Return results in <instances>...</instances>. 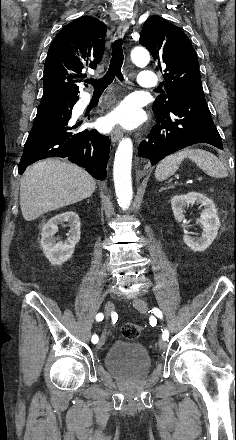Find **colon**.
<instances>
[{
	"mask_svg": "<svg viewBox=\"0 0 236 440\" xmlns=\"http://www.w3.org/2000/svg\"><path fill=\"white\" fill-rule=\"evenodd\" d=\"M142 332V327L135 323H127L122 328V334L129 340L136 339Z\"/></svg>",
	"mask_w": 236,
	"mask_h": 440,
	"instance_id": "colon-1",
	"label": "colon"
}]
</instances>
